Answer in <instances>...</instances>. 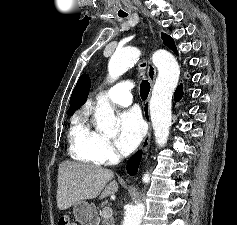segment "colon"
<instances>
[{
  "instance_id": "obj_1",
  "label": "colon",
  "mask_w": 237,
  "mask_h": 225,
  "mask_svg": "<svg viewBox=\"0 0 237 225\" xmlns=\"http://www.w3.org/2000/svg\"><path fill=\"white\" fill-rule=\"evenodd\" d=\"M58 225H76L75 223L71 222L67 217H61L58 221Z\"/></svg>"
}]
</instances>
